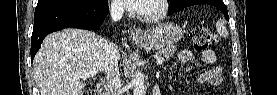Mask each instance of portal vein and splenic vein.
<instances>
[{
    "instance_id": "portal-vein-and-splenic-vein-1",
    "label": "portal vein and splenic vein",
    "mask_w": 277,
    "mask_h": 95,
    "mask_svg": "<svg viewBox=\"0 0 277 95\" xmlns=\"http://www.w3.org/2000/svg\"><path fill=\"white\" fill-rule=\"evenodd\" d=\"M163 61H164V59L159 57V58H157L156 63L158 65H161L163 63ZM96 74H97L96 71H89V72L76 73L75 76L81 77V78H88V77L94 76Z\"/></svg>"
}]
</instances>
